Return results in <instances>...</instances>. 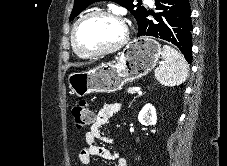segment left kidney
<instances>
[{"instance_id":"1","label":"left kidney","mask_w":227,"mask_h":166,"mask_svg":"<svg viewBox=\"0 0 227 166\" xmlns=\"http://www.w3.org/2000/svg\"><path fill=\"white\" fill-rule=\"evenodd\" d=\"M138 121L145 126L156 125L157 115L155 107L148 103L146 104L138 115ZM155 133V130H152Z\"/></svg>"}]
</instances>
